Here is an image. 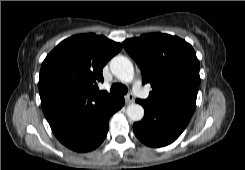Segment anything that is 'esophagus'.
<instances>
[{
	"label": "esophagus",
	"mask_w": 245,
	"mask_h": 170,
	"mask_svg": "<svg viewBox=\"0 0 245 170\" xmlns=\"http://www.w3.org/2000/svg\"><path fill=\"white\" fill-rule=\"evenodd\" d=\"M133 101H134L133 95H131V94L125 95V102H126L127 104H130V103H132Z\"/></svg>",
	"instance_id": "1"
}]
</instances>
